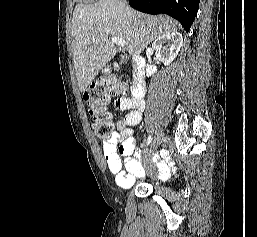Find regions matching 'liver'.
Masks as SVG:
<instances>
[{
  "instance_id": "obj_1",
  "label": "liver",
  "mask_w": 257,
  "mask_h": 237,
  "mask_svg": "<svg viewBox=\"0 0 257 237\" xmlns=\"http://www.w3.org/2000/svg\"><path fill=\"white\" fill-rule=\"evenodd\" d=\"M173 19L135 11L121 0L78 3L72 17V52L81 92L116 54L110 38H122L129 55L135 56L155 39L176 32Z\"/></svg>"
}]
</instances>
